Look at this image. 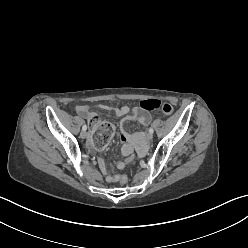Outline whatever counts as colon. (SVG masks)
<instances>
[{"instance_id": "colon-1", "label": "colon", "mask_w": 248, "mask_h": 248, "mask_svg": "<svg viewBox=\"0 0 248 248\" xmlns=\"http://www.w3.org/2000/svg\"><path fill=\"white\" fill-rule=\"evenodd\" d=\"M140 108L144 111H156L159 110L166 115H170L173 112V107L166 101H161L157 99H148L140 102ZM164 114H158L156 119L158 121H164L166 116ZM88 128L92 131V136L95 139L94 146L98 150H104L108 146L113 133L114 126L109 122L101 121L98 115H92L88 119ZM133 159L132 152L129 153V157L122 164V167L128 165ZM115 180L120 185H125L128 182V178L125 174H118Z\"/></svg>"}]
</instances>
